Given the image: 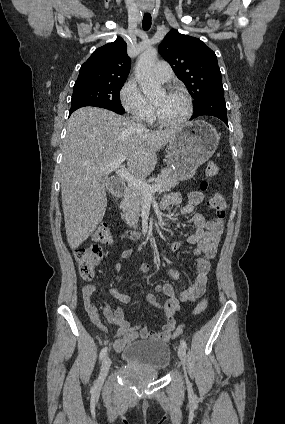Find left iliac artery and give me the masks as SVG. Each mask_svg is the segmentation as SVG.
I'll list each match as a JSON object with an SVG mask.
<instances>
[{
    "mask_svg": "<svg viewBox=\"0 0 285 424\" xmlns=\"http://www.w3.org/2000/svg\"><path fill=\"white\" fill-rule=\"evenodd\" d=\"M180 344L186 349L187 348V344H186V342H185V340H181L180 341Z\"/></svg>",
    "mask_w": 285,
    "mask_h": 424,
    "instance_id": "left-iliac-artery-1",
    "label": "left iliac artery"
}]
</instances>
